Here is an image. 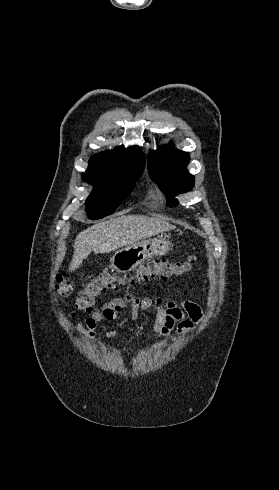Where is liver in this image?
Here are the masks:
<instances>
[{
  "label": "liver",
  "mask_w": 279,
  "mask_h": 490,
  "mask_svg": "<svg viewBox=\"0 0 279 490\" xmlns=\"http://www.w3.org/2000/svg\"><path fill=\"white\" fill-rule=\"evenodd\" d=\"M169 230H175V226L165 222V220L147 218V216H119V218H113L108 222L94 224L76 236L69 272L77 270L91 252L108 254V252L119 250L123 246H127V248L134 246L140 240H146V238L157 236V234H164Z\"/></svg>",
  "instance_id": "6515ba94"
}]
</instances>
